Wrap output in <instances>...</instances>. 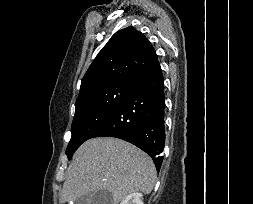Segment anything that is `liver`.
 I'll list each match as a JSON object with an SVG mask.
<instances>
[{
  "label": "liver",
  "mask_w": 253,
  "mask_h": 204,
  "mask_svg": "<svg viewBox=\"0 0 253 204\" xmlns=\"http://www.w3.org/2000/svg\"><path fill=\"white\" fill-rule=\"evenodd\" d=\"M155 181L154 163L142 150L118 138H93L75 152L60 201L71 203L94 191L107 190L113 204H118L135 192L149 194Z\"/></svg>",
  "instance_id": "6515ba94"
}]
</instances>
